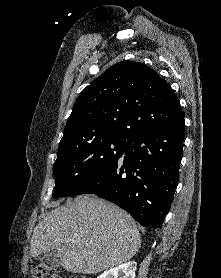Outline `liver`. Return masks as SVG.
I'll use <instances>...</instances> for the list:
<instances>
[{
    "mask_svg": "<svg viewBox=\"0 0 221 278\" xmlns=\"http://www.w3.org/2000/svg\"><path fill=\"white\" fill-rule=\"evenodd\" d=\"M141 246L132 217L94 195L58 206L34 228L30 255L56 250L72 273L97 274L130 260Z\"/></svg>",
    "mask_w": 221,
    "mask_h": 278,
    "instance_id": "liver-1",
    "label": "liver"
}]
</instances>
